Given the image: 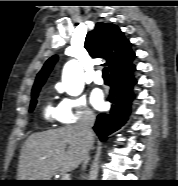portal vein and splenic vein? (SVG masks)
Masks as SVG:
<instances>
[{
  "label": "portal vein and splenic vein",
  "mask_w": 178,
  "mask_h": 186,
  "mask_svg": "<svg viewBox=\"0 0 178 186\" xmlns=\"http://www.w3.org/2000/svg\"><path fill=\"white\" fill-rule=\"evenodd\" d=\"M42 159H45V157L42 158ZM62 179H63V180H70V174H69V173H64V174L62 175Z\"/></svg>",
  "instance_id": "18ae733b"
}]
</instances>
